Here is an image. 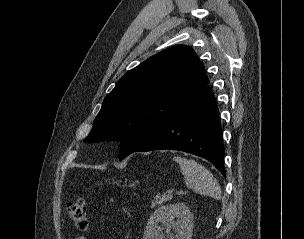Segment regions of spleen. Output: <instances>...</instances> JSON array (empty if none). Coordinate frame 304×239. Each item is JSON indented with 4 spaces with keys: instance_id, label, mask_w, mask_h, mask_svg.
I'll return each instance as SVG.
<instances>
[{
    "instance_id": "spleen-1",
    "label": "spleen",
    "mask_w": 304,
    "mask_h": 239,
    "mask_svg": "<svg viewBox=\"0 0 304 239\" xmlns=\"http://www.w3.org/2000/svg\"><path fill=\"white\" fill-rule=\"evenodd\" d=\"M174 161L179 164L186 185L194 192L210 196L216 200L221 198V188L212 173L194 160L183 157H175Z\"/></svg>"
}]
</instances>
